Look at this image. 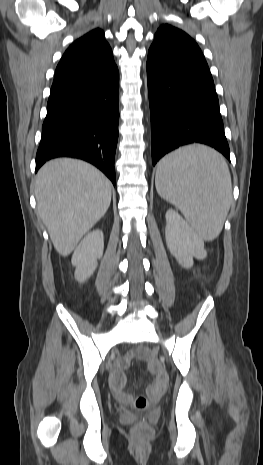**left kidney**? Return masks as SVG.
Listing matches in <instances>:
<instances>
[{"label":"left kidney","instance_id":"1","mask_svg":"<svg viewBox=\"0 0 263 465\" xmlns=\"http://www.w3.org/2000/svg\"><path fill=\"white\" fill-rule=\"evenodd\" d=\"M165 239L170 253L184 268L193 266V257L204 259L207 255L204 242L190 225L174 210L165 215Z\"/></svg>","mask_w":263,"mask_h":465}]
</instances>
